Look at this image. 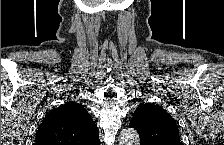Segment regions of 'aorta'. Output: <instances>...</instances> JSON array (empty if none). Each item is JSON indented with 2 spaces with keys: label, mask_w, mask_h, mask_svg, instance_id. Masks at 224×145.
Segmentation results:
<instances>
[{
  "label": "aorta",
  "mask_w": 224,
  "mask_h": 145,
  "mask_svg": "<svg viewBox=\"0 0 224 145\" xmlns=\"http://www.w3.org/2000/svg\"><path fill=\"white\" fill-rule=\"evenodd\" d=\"M119 145H139L138 132L133 128L123 129L119 136Z\"/></svg>",
  "instance_id": "762f6f07"
}]
</instances>
